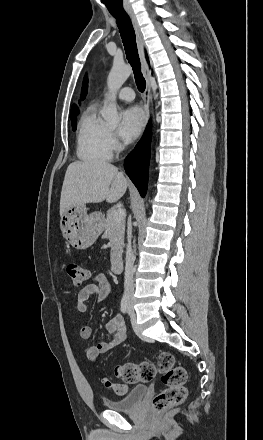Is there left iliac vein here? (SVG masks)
Instances as JSON below:
<instances>
[{
  "instance_id": "left-iliac-vein-1",
  "label": "left iliac vein",
  "mask_w": 263,
  "mask_h": 440,
  "mask_svg": "<svg viewBox=\"0 0 263 440\" xmlns=\"http://www.w3.org/2000/svg\"><path fill=\"white\" fill-rule=\"evenodd\" d=\"M129 312H132L131 300H129Z\"/></svg>"
}]
</instances>
